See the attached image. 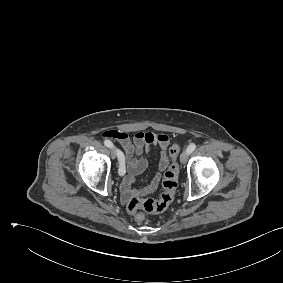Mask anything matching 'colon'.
I'll return each instance as SVG.
<instances>
[{"mask_svg": "<svg viewBox=\"0 0 283 283\" xmlns=\"http://www.w3.org/2000/svg\"><path fill=\"white\" fill-rule=\"evenodd\" d=\"M179 152L180 147L177 144L169 149L172 162L164 174L162 181L163 192L158 199L133 197L127 202V212L133 215L137 221L144 219V214L141 211L145 213H161L172 203L178 186L179 167L176 159Z\"/></svg>", "mask_w": 283, "mask_h": 283, "instance_id": "5ec220e1", "label": "colon"}]
</instances>
